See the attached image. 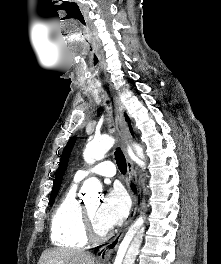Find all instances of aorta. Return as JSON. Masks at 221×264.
Wrapping results in <instances>:
<instances>
[{"mask_svg":"<svg viewBox=\"0 0 221 264\" xmlns=\"http://www.w3.org/2000/svg\"><path fill=\"white\" fill-rule=\"evenodd\" d=\"M112 145L113 140L108 137L92 140L83 152L85 162L93 164L95 161L103 159ZM134 150L140 158L144 159L143 149L139 145H134ZM82 190L88 196L97 194L101 190V184L96 178H89L83 183ZM143 236L144 226L142 224L129 230L119 246L114 264H134Z\"/></svg>","mask_w":221,"mask_h":264,"instance_id":"1","label":"aorta"}]
</instances>
